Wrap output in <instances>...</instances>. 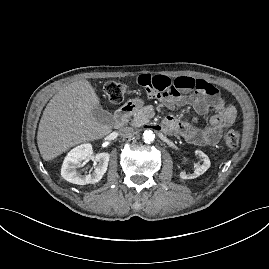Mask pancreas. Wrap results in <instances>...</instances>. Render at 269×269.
Returning a JSON list of instances; mask_svg holds the SVG:
<instances>
[{"label": "pancreas", "instance_id": "cf45deb5", "mask_svg": "<svg viewBox=\"0 0 269 269\" xmlns=\"http://www.w3.org/2000/svg\"><path fill=\"white\" fill-rule=\"evenodd\" d=\"M154 116V111L148 106L140 108L133 118L130 119V125L140 127L146 124Z\"/></svg>", "mask_w": 269, "mask_h": 269}]
</instances>
